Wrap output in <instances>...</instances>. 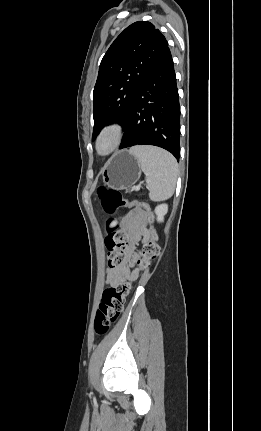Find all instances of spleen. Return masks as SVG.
Returning <instances> with one entry per match:
<instances>
[{
    "label": "spleen",
    "instance_id": "obj_1",
    "mask_svg": "<svg viewBox=\"0 0 261 431\" xmlns=\"http://www.w3.org/2000/svg\"><path fill=\"white\" fill-rule=\"evenodd\" d=\"M138 161L146 176L149 198L163 201L170 198L175 190L178 165L169 152L151 146H136L129 150Z\"/></svg>",
    "mask_w": 261,
    "mask_h": 431
}]
</instances>
